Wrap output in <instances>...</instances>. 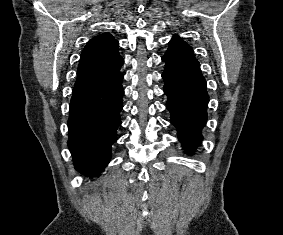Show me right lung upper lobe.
<instances>
[{
	"label": "right lung upper lobe",
	"instance_id": "cb5924a9",
	"mask_svg": "<svg viewBox=\"0 0 283 235\" xmlns=\"http://www.w3.org/2000/svg\"><path fill=\"white\" fill-rule=\"evenodd\" d=\"M118 46L119 43L109 33L91 39L82 51L75 85L118 72L124 63Z\"/></svg>",
	"mask_w": 283,
	"mask_h": 235
}]
</instances>
